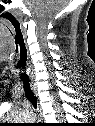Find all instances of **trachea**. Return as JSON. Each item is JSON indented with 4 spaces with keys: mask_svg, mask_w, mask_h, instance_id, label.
I'll return each mask as SVG.
<instances>
[{
    "mask_svg": "<svg viewBox=\"0 0 95 126\" xmlns=\"http://www.w3.org/2000/svg\"><path fill=\"white\" fill-rule=\"evenodd\" d=\"M26 61H27L26 56H23V57L21 56L20 60L18 62V68L20 69V78L23 83V88H24L27 99L32 103L34 108H36L37 107V98L30 88L29 78L26 74L27 73Z\"/></svg>",
    "mask_w": 95,
    "mask_h": 126,
    "instance_id": "obj_1",
    "label": "trachea"
}]
</instances>
